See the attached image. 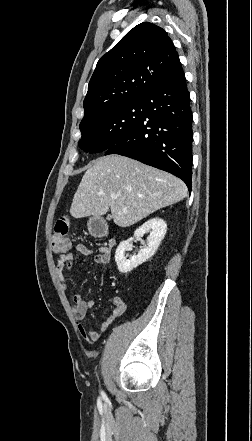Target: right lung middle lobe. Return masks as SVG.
<instances>
[{"instance_id":"dd1d6c3e","label":"right lung middle lobe","mask_w":252,"mask_h":441,"mask_svg":"<svg viewBox=\"0 0 252 441\" xmlns=\"http://www.w3.org/2000/svg\"><path fill=\"white\" fill-rule=\"evenodd\" d=\"M141 99L99 112L80 123L79 147L89 153L106 151L124 138L140 121Z\"/></svg>"}]
</instances>
